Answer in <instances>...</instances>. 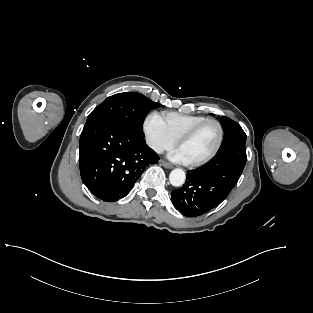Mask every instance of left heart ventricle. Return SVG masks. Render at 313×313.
<instances>
[{
	"instance_id": "1",
	"label": "left heart ventricle",
	"mask_w": 313,
	"mask_h": 313,
	"mask_svg": "<svg viewBox=\"0 0 313 313\" xmlns=\"http://www.w3.org/2000/svg\"><path fill=\"white\" fill-rule=\"evenodd\" d=\"M218 139V128L214 123L202 127L191 139L182 143L179 149L189 162L200 160L209 155Z\"/></svg>"
}]
</instances>
